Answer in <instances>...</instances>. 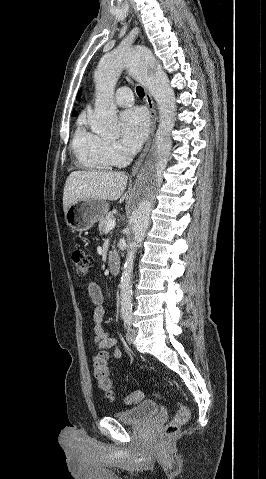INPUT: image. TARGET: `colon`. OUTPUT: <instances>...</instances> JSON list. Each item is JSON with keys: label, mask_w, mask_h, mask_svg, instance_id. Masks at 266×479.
I'll return each instance as SVG.
<instances>
[{"label": "colon", "mask_w": 266, "mask_h": 479, "mask_svg": "<svg viewBox=\"0 0 266 479\" xmlns=\"http://www.w3.org/2000/svg\"><path fill=\"white\" fill-rule=\"evenodd\" d=\"M71 259L76 274L80 277L87 276L93 263L92 256L82 249H75L72 252ZM94 376L99 389L104 392L109 399H114L108 367V354L105 350H100L94 357ZM142 399L143 393L141 391H133L126 396L125 402L127 404H136ZM176 407V413L163 430L162 441L164 443L169 442L175 437L181 426L186 424L190 418V411L186 406L178 403Z\"/></svg>", "instance_id": "1"}]
</instances>
